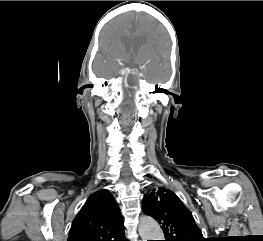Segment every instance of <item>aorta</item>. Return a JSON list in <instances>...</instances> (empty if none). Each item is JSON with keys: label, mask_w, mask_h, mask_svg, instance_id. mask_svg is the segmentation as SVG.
<instances>
[{"label": "aorta", "mask_w": 263, "mask_h": 241, "mask_svg": "<svg viewBox=\"0 0 263 241\" xmlns=\"http://www.w3.org/2000/svg\"><path fill=\"white\" fill-rule=\"evenodd\" d=\"M138 231L142 241L161 240L163 237L158 223L151 217L145 216L140 220Z\"/></svg>", "instance_id": "762f6f07"}]
</instances>
